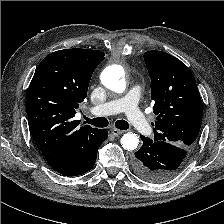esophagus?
I'll list each match as a JSON object with an SVG mask.
<instances>
[{"instance_id":"34e87169","label":"esophagus","mask_w":224,"mask_h":224,"mask_svg":"<svg viewBox=\"0 0 224 224\" xmlns=\"http://www.w3.org/2000/svg\"><path fill=\"white\" fill-rule=\"evenodd\" d=\"M111 133H112L114 136H118V135L123 134L124 131H122V130H118V129H116V128H113V129H111Z\"/></svg>"}]
</instances>
